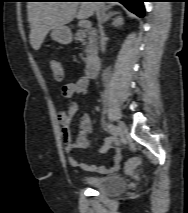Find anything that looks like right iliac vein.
Masks as SVG:
<instances>
[{
	"instance_id": "right-iliac-vein-1",
	"label": "right iliac vein",
	"mask_w": 188,
	"mask_h": 213,
	"mask_svg": "<svg viewBox=\"0 0 188 213\" xmlns=\"http://www.w3.org/2000/svg\"><path fill=\"white\" fill-rule=\"evenodd\" d=\"M117 128H118V134L121 137H124L127 133V127H126L125 123L123 121H119Z\"/></svg>"
}]
</instances>
